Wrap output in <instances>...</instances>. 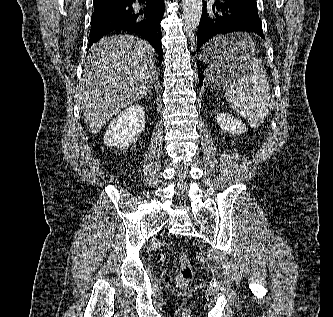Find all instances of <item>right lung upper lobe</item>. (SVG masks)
Listing matches in <instances>:
<instances>
[{
  "label": "right lung upper lobe",
  "instance_id": "cb5924a9",
  "mask_svg": "<svg viewBox=\"0 0 333 317\" xmlns=\"http://www.w3.org/2000/svg\"><path fill=\"white\" fill-rule=\"evenodd\" d=\"M114 1H118V0H94V2H104V3L114 2Z\"/></svg>",
  "mask_w": 333,
  "mask_h": 317
}]
</instances>
